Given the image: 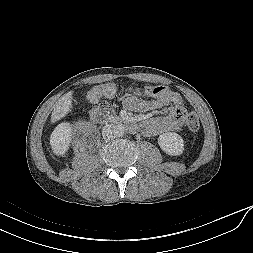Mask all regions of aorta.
Masks as SVG:
<instances>
[{
    "label": "aorta",
    "instance_id": "obj_1",
    "mask_svg": "<svg viewBox=\"0 0 253 253\" xmlns=\"http://www.w3.org/2000/svg\"><path fill=\"white\" fill-rule=\"evenodd\" d=\"M115 136H123L125 133V126L123 124H118L114 126Z\"/></svg>",
    "mask_w": 253,
    "mask_h": 253
}]
</instances>
